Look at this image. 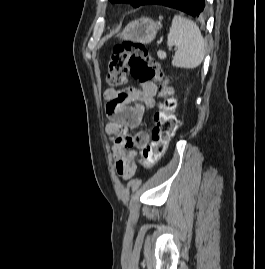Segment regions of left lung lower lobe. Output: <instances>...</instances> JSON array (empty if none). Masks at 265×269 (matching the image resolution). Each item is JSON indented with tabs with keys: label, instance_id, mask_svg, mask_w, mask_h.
<instances>
[{
	"label": "left lung lower lobe",
	"instance_id": "1",
	"mask_svg": "<svg viewBox=\"0 0 265 269\" xmlns=\"http://www.w3.org/2000/svg\"><path fill=\"white\" fill-rule=\"evenodd\" d=\"M157 4L178 9L194 18L206 14L205 0H145L142 5Z\"/></svg>",
	"mask_w": 265,
	"mask_h": 269
}]
</instances>
